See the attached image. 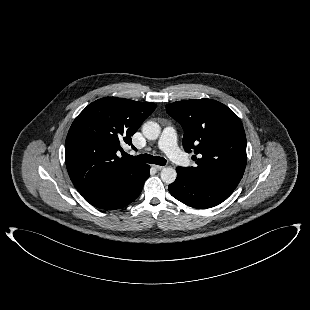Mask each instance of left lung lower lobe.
<instances>
[{
    "label": "left lung lower lobe",
    "mask_w": 310,
    "mask_h": 310,
    "mask_svg": "<svg viewBox=\"0 0 310 310\" xmlns=\"http://www.w3.org/2000/svg\"><path fill=\"white\" fill-rule=\"evenodd\" d=\"M177 178L169 185L171 195L182 203L194 208H211L233 192V188L194 176L182 167H177Z\"/></svg>",
    "instance_id": "obj_1"
}]
</instances>
